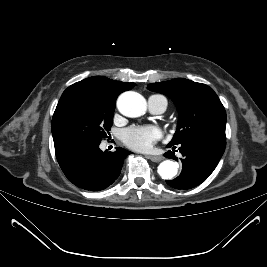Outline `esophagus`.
Segmentation results:
<instances>
[{
  "mask_svg": "<svg viewBox=\"0 0 267 267\" xmlns=\"http://www.w3.org/2000/svg\"><path fill=\"white\" fill-rule=\"evenodd\" d=\"M148 158L152 162H160L162 160V157L161 156L148 155Z\"/></svg>",
  "mask_w": 267,
  "mask_h": 267,
  "instance_id": "obj_1",
  "label": "esophagus"
}]
</instances>
